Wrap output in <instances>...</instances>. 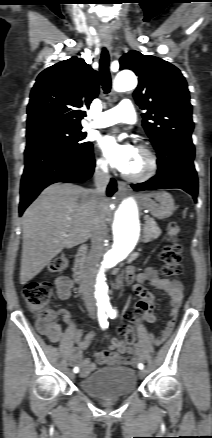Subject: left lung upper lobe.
I'll return each instance as SVG.
<instances>
[{
  "label": "left lung upper lobe",
  "mask_w": 212,
  "mask_h": 438,
  "mask_svg": "<svg viewBox=\"0 0 212 438\" xmlns=\"http://www.w3.org/2000/svg\"><path fill=\"white\" fill-rule=\"evenodd\" d=\"M120 69L133 70L139 84L133 96L141 109L143 127L155 149L164 142L191 137L194 123L185 78L178 68L155 56L130 51Z\"/></svg>",
  "instance_id": "5c2ea615"
}]
</instances>
